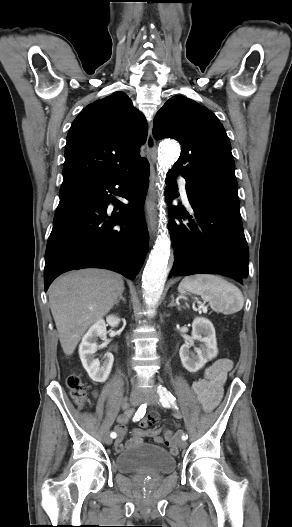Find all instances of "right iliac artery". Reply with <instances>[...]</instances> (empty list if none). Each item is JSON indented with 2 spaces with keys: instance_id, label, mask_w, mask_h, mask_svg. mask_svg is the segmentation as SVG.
Returning <instances> with one entry per match:
<instances>
[{
  "instance_id": "right-iliac-artery-1",
  "label": "right iliac artery",
  "mask_w": 292,
  "mask_h": 527,
  "mask_svg": "<svg viewBox=\"0 0 292 527\" xmlns=\"http://www.w3.org/2000/svg\"><path fill=\"white\" fill-rule=\"evenodd\" d=\"M145 409H146V405H145V404H143V405H141V406L139 407L137 413L135 414V416H134V418H133L134 421H139L140 418H142V417L144 416V414H145ZM110 437H111L112 439L116 438V437H117V433H116V432H111Z\"/></svg>"
}]
</instances>
